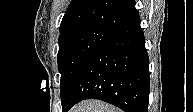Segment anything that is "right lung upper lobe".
I'll list each match as a JSON object with an SVG mask.
<instances>
[{"label": "right lung upper lobe", "mask_w": 193, "mask_h": 112, "mask_svg": "<svg viewBox=\"0 0 193 112\" xmlns=\"http://www.w3.org/2000/svg\"><path fill=\"white\" fill-rule=\"evenodd\" d=\"M138 16L134 0H72L61 21L60 33L80 26L115 32Z\"/></svg>", "instance_id": "right-lung-upper-lobe-1"}]
</instances>
